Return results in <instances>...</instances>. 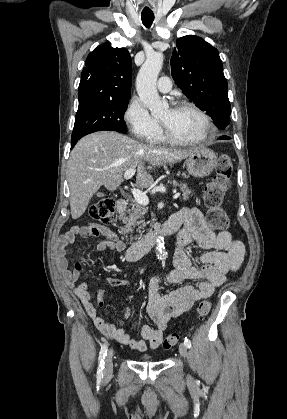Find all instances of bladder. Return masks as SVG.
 Wrapping results in <instances>:
<instances>
[{"label": "bladder", "instance_id": "1", "mask_svg": "<svg viewBox=\"0 0 287 419\" xmlns=\"http://www.w3.org/2000/svg\"><path fill=\"white\" fill-rule=\"evenodd\" d=\"M143 359H144V360H147L148 358H147V357H144Z\"/></svg>", "mask_w": 287, "mask_h": 419}]
</instances>
